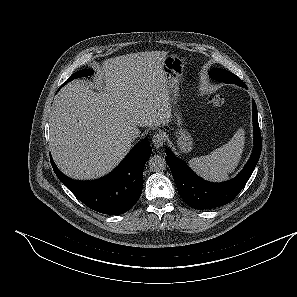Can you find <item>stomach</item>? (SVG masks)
Masks as SVG:
<instances>
[{
	"label": "stomach",
	"mask_w": 297,
	"mask_h": 297,
	"mask_svg": "<svg viewBox=\"0 0 297 297\" xmlns=\"http://www.w3.org/2000/svg\"><path fill=\"white\" fill-rule=\"evenodd\" d=\"M184 65V59L174 54L167 55L163 60V70L168 79L170 91V103L173 104V106L178 100L179 81ZM174 115L176 116L175 121L178 126L176 132L174 133L178 151L179 153H188L192 150L193 146L191 135L188 131L182 128L183 122L180 113L177 111Z\"/></svg>",
	"instance_id": "1"
}]
</instances>
